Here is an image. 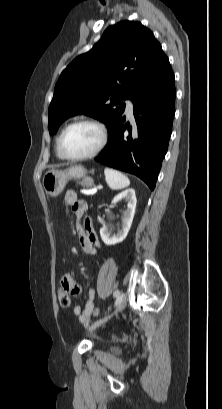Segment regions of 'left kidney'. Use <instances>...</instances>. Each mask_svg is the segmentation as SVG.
I'll list each match as a JSON object with an SVG mask.
<instances>
[{
	"mask_svg": "<svg viewBox=\"0 0 222 409\" xmlns=\"http://www.w3.org/2000/svg\"><path fill=\"white\" fill-rule=\"evenodd\" d=\"M120 200H125L127 202V210L123 213L122 216L121 230H119L116 234H113L112 228L109 226H103L100 229L101 239L106 245H114L122 242L126 238L132 225L137 201L135 190L127 189L119 193L113 198L112 204L114 205L118 203Z\"/></svg>",
	"mask_w": 222,
	"mask_h": 409,
	"instance_id": "obj_1",
	"label": "left kidney"
}]
</instances>
